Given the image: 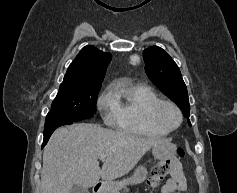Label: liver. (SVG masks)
Returning <instances> with one entry per match:
<instances>
[{
  "mask_svg": "<svg viewBox=\"0 0 237 193\" xmlns=\"http://www.w3.org/2000/svg\"><path fill=\"white\" fill-rule=\"evenodd\" d=\"M164 140L78 123L58 128L43 152L42 193H70L76 184L89 188L129 173L142 156ZM105 154L102 168L98 158Z\"/></svg>",
  "mask_w": 237,
  "mask_h": 193,
  "instance_id": "1",
  "label": "liver"
}]
</instances>
